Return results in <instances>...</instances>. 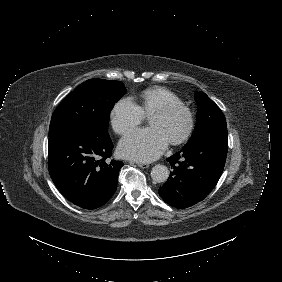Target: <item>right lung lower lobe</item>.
<instances>
[{"mask_svg": "<svg viewBox=\"0 0 282 282\" xmlns=\"http://www.w3.org/2000/svg\"><path fill=\"white\" fill-rule=\"evenodd\" d=\"M113 144L108 135L70 127L49 136V174L63 196L84 209L104 205L115 193L121 161H106Z\"/></svg>", "mask_w": 282, "mask_h": 282, "instance_id": "1", "label": "right lung lower lobe"}]
</instances>
